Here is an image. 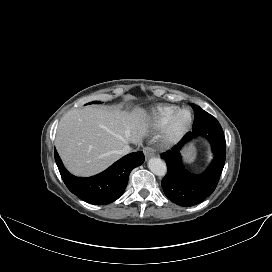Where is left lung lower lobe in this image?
<instances>
[{
	"label": "left lung lower lobe",
	"instance_id": "0a47b994",
	"mask_svg": "<svg viewBox=\"0 0 272 272\" xmlns=\"http://www.w3.org/2000/svg\"><path fill=\"white\" fill-rule=\"evenodd\" d=\"M197 136L207 138L212 146L214 157L206 171L193 176L184 169L180 150ZM161 157L166 160L168 167V172L161 182L167 198L183 207L201 203L215 190L224 167L226 144L221 125L217 120H214L188 132L178 146L161 154Z\"/></svg>",
	"mask_w": 272,
	"mask_h": 272
}]
</instances>
